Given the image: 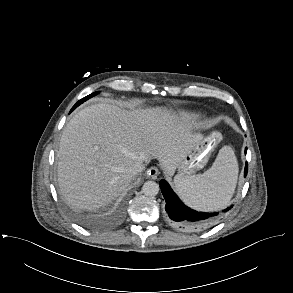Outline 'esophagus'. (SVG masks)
I'll use <instances>...</instances> for the list:
<instances>
[{"label":"esophagus","mask_w":293,"mask_h":293,"mask_svg":"<svg viewBox=\"0 0 293 293\" xmlns=\"http://www.w3.org/2000/svg\"><path fill=\"white\" fill-rule=\"evenodd\" d=\"M146 174L148 177L155 179L157 177V175L159 174V170L157 167L153 166L147 170Z\"/></svg>","instance_id":"1"}]
</instances>
